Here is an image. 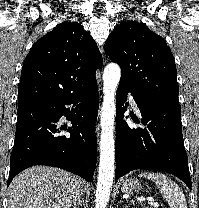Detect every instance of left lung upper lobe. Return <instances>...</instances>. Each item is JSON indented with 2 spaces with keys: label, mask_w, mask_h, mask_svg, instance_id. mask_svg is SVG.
Segmentation results:
<instances>
[{
  "label": "left lung upper lobe",
  "mask_w": 199,
  "mask_h": 208,
  "mask_svg": "<svg viewBox=\"0 0 199 208\" xmlns=\"http://www.w3.org/2000/svg\"><path fill=\"white\" fill-rule=\"evenodd\" d=\"M105 52L120 65V82L149 98L180 105L172 52L164 39L147 26L122 21L109 35Z\"/></svg>",
  "instance_id": "5c2ea615"
}]
</instances>
